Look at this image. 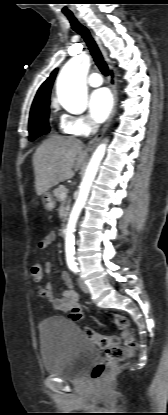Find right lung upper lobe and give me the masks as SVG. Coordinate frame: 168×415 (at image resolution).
Returning a JSON list of instances; mask_svg holds the SVG:
<instances>
[{
    "mask_svg": "<svg viewBox=\"0 0 168 415\" xmlns=\"http://www.w3.org/2000/svg\"><path fill=\"white\" fill-rule=\"evenodd\" d=\"M56 73H57V69H55L51 73L50 77L39 88V90H38V92H37V94L34 98V101H33L32 107H31V111H34L38 108L49 105L50 91H51L52 84H53V81L55 79Z\"/></svg>",
    "mask_w": 168,
    "mask_h": 415,
    "instance_id": "obj_1",
    "label": "right lung upper lobe"
}]
</instances>
